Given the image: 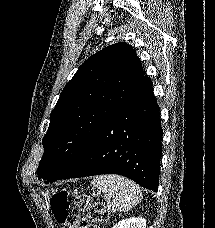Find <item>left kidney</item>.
Masks as SVG:
<instances>
[{"mask_svg": "<svg viewBox=\"0 0 215 228\" xmlns=\"http://www.w3.org/2000/svg\"><path fill=\"white\" fill-rule=\"evenodd\" d=\"M113 228H146L145 218H127L115 224Z\"/></svg>", "mask_w": 215, "mask_h": 228, "instance_id": "5707ae66", "label": "left kidney"}]
</instances>
